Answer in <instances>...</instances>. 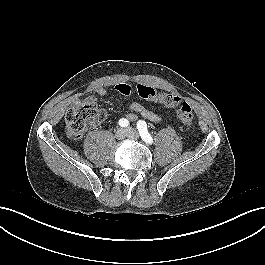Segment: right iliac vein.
<instances>
[{
	"label": "right iliac vein",
	"instance_id": "right-iliac-vein-1",
	"mask_svg": "<svg viewBox=\"0 0 265 265\" xmlns=\"http://www.w3.org/2000/svg\"><path fill=\"white\" fill-rule=\"evenodd\" d=\"M128 135V132L126 129H123V128H119L116 133H115V137L116 139L118 140H122L124 139L125 137H127Z\"/></svg>",
	"mask_w": 265,
	"mask_h": 265
}]
</instances>
